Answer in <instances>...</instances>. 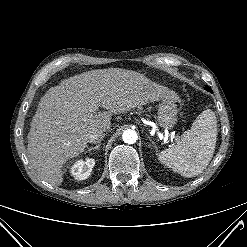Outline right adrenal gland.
Masks as SVG:
<instances>
[{
  "instance_id": "2a0ac1e0",
  "label": "right adrenal gland",
  "mask_w": 247,
  "mask_h": 247,
  "mask_svg": "<svg viewBox=\"0 0 247 247\" xmlns=\"http://www.w3.org/2000/svg\"><path fill=\"white\" fill-rule=\"evenodd\" d=\"M100 147H101V143L97 144V145L94 146V147L88 148V149L85 151V153L90 152V151H92V150H99Z\"/></svg>"
}]
</instances>
